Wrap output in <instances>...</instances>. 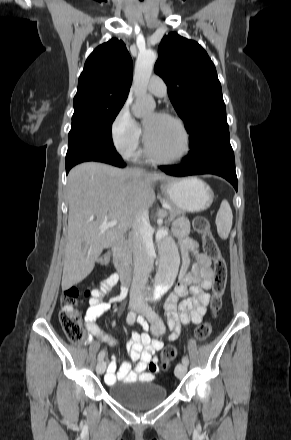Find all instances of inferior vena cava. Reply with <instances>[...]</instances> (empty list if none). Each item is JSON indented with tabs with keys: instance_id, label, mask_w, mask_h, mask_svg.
<instances>
[{
	"instance_id": "inferior-vena-cava-1",
	"label": "inferior vena cava",
	"mask_w": 291,
	"mask_h": 440,
	"mask_svg": "<svg viewBox=\"0 0 291 440\" xmlns=\"http://www.w3.org/2000/svg\"><path fill=\"white\" fill-rule=\"evenodd\" d=\"M134 273L130 301L143 305V291L153 267V241L146 212L139 213L132 225Z\"/></svg>"
}]
</instances>
